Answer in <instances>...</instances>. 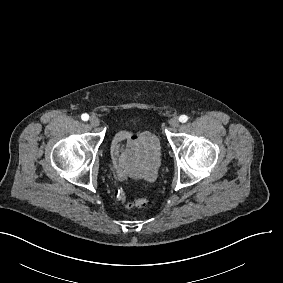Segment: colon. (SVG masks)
<instances>
[{"label": "colon", "instance_id": "obj_1", "mask_svg": "<svg viewBox=\"0 0 283 283\" xmlns=\"http://www.w3.org/2000/svg\"><path fill=\"white\" fill-rule=\"evenodd\" d=\"M148 205V199L144 196H136L128 204L127 208H145Z\"/></svg>", "mask_w": 283, "mask_h": 283}]
</instances>
